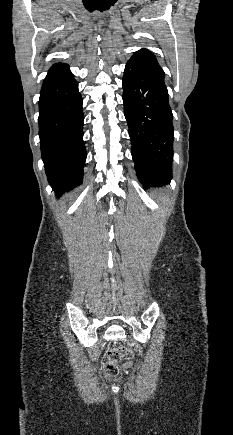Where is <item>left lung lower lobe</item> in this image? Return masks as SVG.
<instances>
[{
	"label": "left lung lower lobe",
	"mask_w": 233,
	"mask_h": 435,
	"mask_svg": "<svg viewBox=\"0 0 233 435\" xmlns=\"http://www.w3.org/2000/svg\"><path fill=\"white\" fill-rule=\"evenodd\" d=\"M123 84L135 170L144 188L170 183L173 124L164 79L127 63Z\"/></svg>",
	"instance_id": "obj_1"
}]
</instances>
